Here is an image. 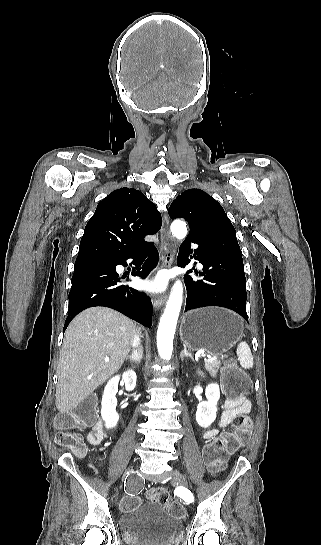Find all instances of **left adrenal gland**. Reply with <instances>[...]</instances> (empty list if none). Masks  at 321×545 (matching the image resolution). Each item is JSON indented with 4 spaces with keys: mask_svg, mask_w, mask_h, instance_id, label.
I'll return each instance as SVG.
<instances>
[{
    "mask_svg": "<svg viewBox=\"0 0 321 545\" xmlns=\"http://www.w3.org/2000/svg\"><path fill=\"white\" fill-rule=\"evenodd\" d=\"M184 357H190V359H192V361H194V357H192L191 353H188L187 347H184V351H182V353H180L181 361H184Z\"/></svg>",
    "mask_w": 321,
    "mask_h": 545,
    "instance_id": "left-adrenal-gland-1",
    "label": "left adrenal gland"
}]
</instances>
